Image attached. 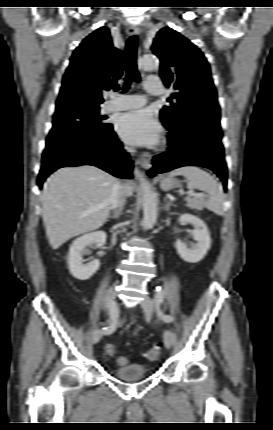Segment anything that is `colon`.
Returning <instances> with one entry per match:
<instances>
[{"label":"colon","instance_id":"5ec220e1","mask_svg":"<svg viewBox=\"0 0 273 430\" xmlns=\"http://www.w3.org/2000/svg\"><path fill=\"white\" fill-rule=\"evenodd\" d=\"M105 351L107 354L109 355H114L115 353V347L112 344H107L105 347ZM160 354V347L159 346H154L152 348H150L145 354L144 357L148 360H156L158 358ZM128 362L127 358L124 356H118L116 357V363L119 366H124L126 365Z\"/></svg>","mask_w":273,"mask_h":430}]
</instances>
